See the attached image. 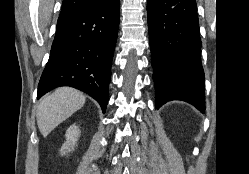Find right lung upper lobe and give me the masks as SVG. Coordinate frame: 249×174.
Wrapping results in <instances>:
<instances>
[{
	"label": "right lung upper lobe",
	"mask_w": 249,
	"mask_h": 174,
	"mask_svg": "<svg viewBox=\"0 0 249 174\" xmlns=\"http://www.w3.org/2000/svg\"><path fill=\"white\" fill-rule=\"evenodd\" d=\"M112 0H63L59 17H65L81 9L98 6Z\"/></svg>",
	"instance_id": "right-lung-upper-lobe-1"
}]
</instances>
